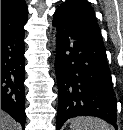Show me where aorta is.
Instances as JSON below:
<instances>
[{
	"label": "aorta",
	"instance_id": "obj_1",
	"mask_svg": "<svg viewBox=\"0 0 123 130\" xmlns=\"http://www.w3.org/2000/svg\"><path fill=\"white\" fill-rule=\"evenodd\" d=\"M52 48L55 50L57 44V31L54 29L51 40Z\"/></svg>",
	"mask_w": 123,
	"mask_h": 130
}]
</instances>
